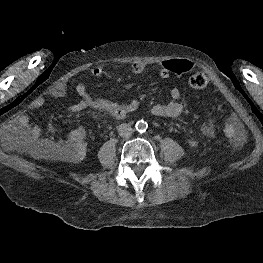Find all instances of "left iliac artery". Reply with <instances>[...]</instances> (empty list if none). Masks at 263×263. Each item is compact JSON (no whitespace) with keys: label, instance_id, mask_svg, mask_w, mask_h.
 Instances as JSON below:
<instances>
[{"label":"left iliac artery","instance_id":"1","mask_svg":"<svg viewBox=\"0 0 263 263\" xmlns=\"http://www.w3.org/2000/svg\"><path fill=\"white\" fill-rule=\"evenodd\" d=\"M146 127H148V125L146 124ZM146 131V129H144V130H142V131H140V132H145Z\"/></svg>","mask_w":263,"mask_h":263}]
</instances>
